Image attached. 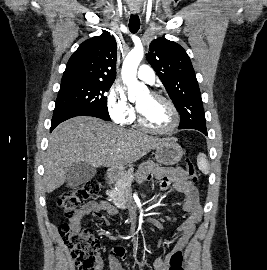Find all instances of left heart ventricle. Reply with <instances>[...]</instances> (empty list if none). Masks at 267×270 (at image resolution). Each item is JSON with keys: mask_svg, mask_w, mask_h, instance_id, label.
Segmentation results:
<instances>
[{"mask_svg": "<svg viewBox=\"0 0 267 270\" xmlns=\"http://www.w3.org/2000/svg\"><path fill=\"white\" fill-rule=\"evenodd\" d=\"M145 123L155 129H166L172 123V114L169 107L151 95H145L137 102Z\"/></svg>", "mask_w": 267, "mask_h": 270, "instance_id": "obj_1", "label": "left heart ventricle"}]
</instances>
